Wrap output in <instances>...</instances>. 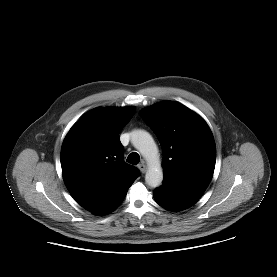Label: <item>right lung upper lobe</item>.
<instances>
[{
	"instance_id": "obj_1",
	"label": "right lung upper lobe",
	"mask_w": 277,
	"mask_h": 277,
	"mask_svg": "<svg viewBox=\"0 0 277 277\" xmlns=\"http://www.w3.org/2000/svg\"><path fill=\"white\" fill-rule=\"evenodd\" d=\"M134 111V107L95 108L64 139L60 159L65 185L90 212L106 207L138 177L137 169L123 161L119 139Z\"/></svg>"
}]
</instances>
